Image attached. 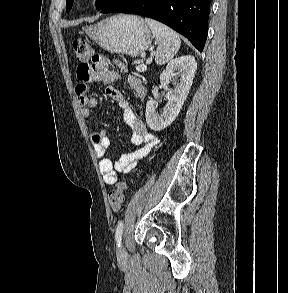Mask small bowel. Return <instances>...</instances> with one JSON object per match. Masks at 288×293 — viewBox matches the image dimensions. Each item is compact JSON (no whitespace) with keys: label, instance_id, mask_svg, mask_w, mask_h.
Instances as JSON below:
<instances>
[{"label":"small bowel","instance_id":"c3829d8e","mask_svg":"<svg viewBox=\"0 0 288 293\" xmlns=\"http://www.w3.org/2000/svg\"><path fill=\"white\" fill-rule=\"evenodd\" d=\"M116 69H112V62L101 54H95L92 63L88 65L79 64L77 67V78L80 83L76 87L78 103L81 114L85 118L91 116V111L97 106V99L90 96V82H102L112 84L120 79V72H126L125 64L120 60L113 62ZM127 83L140 101L146 97V88L142 81L133 75H128ZM106 94L117 101L124 110V121L132 131L131 142L138 148L133 152L124 154L115 163L105 156L110 146V139L105 130H94L91 132V142L98 157H100L99 168L103 179L107 184H114L120 173H127L133 169L141 159L146 157L157 145L158 138L150 133L141 120L138 112L133 110L124 99L121 92L111 86L106 88Z\"/></svg>","mask_w":288,"mask_h":293}]
</instances>
